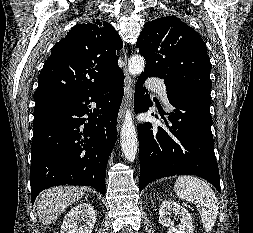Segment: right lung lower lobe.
Returning a JSON list of instances; mask_svg holds the SVG:
<instances>
[{
	"label": "right lung lower lobe",
	"instance_id": "obj_1",
	"mask_svg": "<svg viewBox=\"0 0 253 233\" xmlns=\"http://www.w3.org/2000/svg\"><path fill=\"white\" fill-rule=\"evenodd\" d=\"M123 82L120 71L103 85L36 101L30 168L32 204L42 190L66 184L91 186L105 195L106 167L117 139ZM91 102L96 103L95 108Z\"/></svg>",
	"mask_w": 253,
	"mask_h": 233
}]
</instances>
